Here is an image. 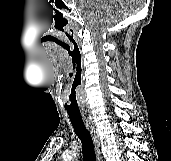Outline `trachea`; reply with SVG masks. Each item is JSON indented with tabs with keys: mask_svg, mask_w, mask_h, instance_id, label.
<instances>
[{
	"mask_svg": "<svg viewBox=\"0 0 171 161\" xmlns=\"http://www.w3.org/2000/svg\"><path fill=\"white\" fill-rule=\"evenodd\" d=\"M75 134L81 141L84 161H96L93 140L82 120L80 112H68Z\"/></svg>",
	"mask_w": 171,
	"mask_h": 161,
	"instance_id": "trachea-1",
	"label": "trachea"
}]
</instances>
